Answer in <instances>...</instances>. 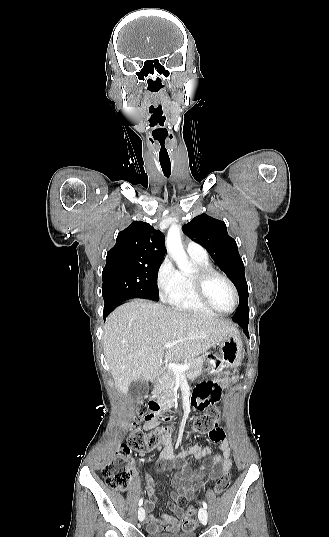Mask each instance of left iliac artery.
I'll use <instances>...</instances> for the list:
<instances>
[{
	"instance_id": "obj_1",
	"label": "left iliac artery",
	"mask_w": 329,
	"mask_h": 537,
	"mask_svg": "<svg viewBox=\"0 0 329 537\" xmlns=\"http://www.w3.org/2000/svg\"><path fill=\"white\" fill-rule=\"evenodd\" d=\"M202 504H203V507H204L205 509H207V503H206L205 501H203Z\"/></svg>"
}]
</instances>
